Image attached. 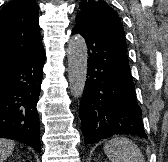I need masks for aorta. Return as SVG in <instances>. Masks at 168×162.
<instances>
[{"label": "aorta", "instance_id": "762f6f07", "mask_svg": "<svg viewBox=\"0 0 168 162\" xmlns=\"http://www.w3.org/2000/svg\"><path fill=\"white\" fill-rule=\"evenodd\" d=\"M68 78L71 94L80 98L83 94L87 76V45L84 38L76 34L68 43Z\"/></svg>", "mask_w": 168, "mask_h": 162}]
</instances>
